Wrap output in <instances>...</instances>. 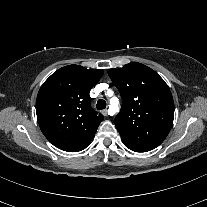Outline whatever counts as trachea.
<instances>
[{
    "label": "trachea",
    "instance_id": "3493384b",
    "mask_svg": "<svg viewBox=\"0 0 207 207\" xmlns=\"http://www.w3.org/2000/svg\"><path fill=\"white\" fill-rule=\"evenodd\" d=\"M96 107L98 110H102V109H105L106 108V102L105 100L103 99H99L97 104H96Z\"/></svg>",
    "mask_w": 207,
    "mask_h": 207
}]
</instances>
